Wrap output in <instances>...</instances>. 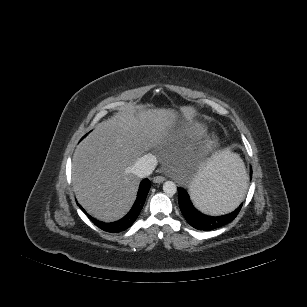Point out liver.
<instances>
[{
	"label": "liver",
	"instance_id": "liver-1",
	"mask_svg": "<svg viewBox=\"0 0 307 307\" xmlns=\"http://www.w3.org/2000/svg\"><path fill=\"white\" fill-rule=\"evenodd\" d=\"M180 111L187 119L195 115L192 107ZM179 119L172 108L126 106L99 123L73 156V188L83 208L101 221L122 218L140 182L133 165L145 152L167 145Z\"/></svg>",
	"mask_w": 307,
	"mask_h": 307
}]
</instances>
